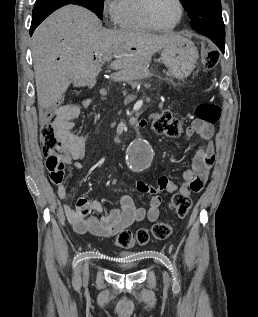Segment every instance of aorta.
<instances>
[{
  "mask_svg": "<svg viewBox=\"0 0 258 317\" xmlns=\"http://www.w3.org/2000/svg\"><path fill=\"white\" fill-rule=\"evenodd\" d=\"M152 161L149 143L143 139L136 140L128 150V164L136 172L147 169Z\"/></svg>",
  "mask_w": 258,
  "mask_h": 317,
  "instance_id": "762f6f07",
  "label": "aorta"
}]
</instances>
